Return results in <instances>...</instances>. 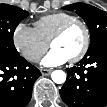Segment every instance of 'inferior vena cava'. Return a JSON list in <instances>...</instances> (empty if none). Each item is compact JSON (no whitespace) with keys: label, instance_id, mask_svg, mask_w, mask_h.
Masks as SVG:
<instances>
[{"label":"inferior vena cava","instance_id":"obj_1","mask_svg":"<svg viewBox=\"0 0 107 107\" xmlns=\"http://www.w3.org/2000/svg\"><path fill=\"white\" fill-rule=\"evenodd\" d=\"M40 59H41L40 55H35L32 57V61H34V62H38Z\"/></svg>","mask_w":107,"mask_h":107}]
</instances>
